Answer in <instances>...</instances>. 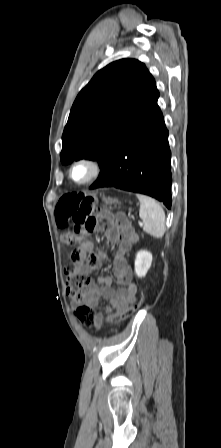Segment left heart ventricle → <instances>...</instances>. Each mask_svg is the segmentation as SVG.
Returning <instances> with one entry per match:
<instances>
[{
  "label": "left heart ventricle",
  "instance_id": "1",
  "mask_svg": "<svg viewBox=\"0 0 221 448\" xmlns=\"http://www.w3.org/2000/svg\"><path fill=\"white\" fill-rule=\"evenodd\" d=\"M72 174L76 180H83L89 176L90 171L84 166H78L73 170Z\"/></svg>",
  "mask_w": 221,
  "mask_h": 448
}]
</instances>
